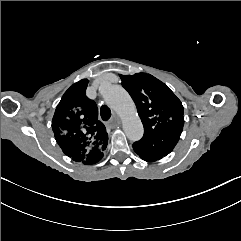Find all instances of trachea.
<instances>
[{
    "label": "trachea",
    "instance_id": "obj_1",
    "mask_svg": "<svg viewBox=\"0 0 241 241\" xmlns=\"http://www.w3.org/2000/svg\"><path fill=\"white\" fill-rule=\"evenodd\" d=\"M100 115H101V118L104 120V121H107L110 116H111V111L109 109V107L107 105H102L101 106V109H100Z\"/></svg>",
    "mask_w": 241,
    "mask_h": 241
}]
</instances>
